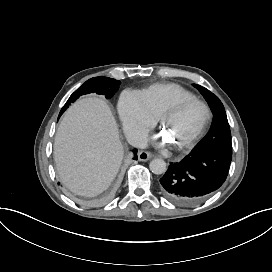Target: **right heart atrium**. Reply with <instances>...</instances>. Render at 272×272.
<instances>
[{
  "instance_id": "d8ad5b80",
  "label": "right heart atrium",
  "mask_w": 272,
  "mask_h": 272,
  "mask_svg": "<svg viewBox=\"0 0 272 272\" xmlns=\"http://www.w3.org/2000/svg\"><path fill=\"white\" fill-rule=\"evenodd\" d=\"M120 110L126 131L132 137L147 133L157 122L147 108L142 96L138 93L125 91L120 98Z\"/></svg>"
}]
</instances>
